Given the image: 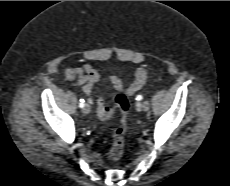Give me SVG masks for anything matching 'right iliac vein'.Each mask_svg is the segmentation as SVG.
<instances>
[{
  "label": "right iliac vein",
  "mask_w": 230,
  "mask_h": 186,
  "mask_svg": "<svg viewBox=\"0 0 230 186\" xmlns=\"http://www.w3.org/2000/svg\"><path fill=\"white\" fill-rule=\"evenodd\" d=\"M84 114H89L90 113V105L89 104H85L83 109H82Z\"/></svg>",
  "instance_id": "obj_1"
}]
</instances>
